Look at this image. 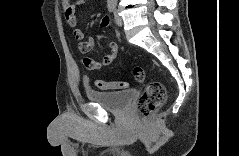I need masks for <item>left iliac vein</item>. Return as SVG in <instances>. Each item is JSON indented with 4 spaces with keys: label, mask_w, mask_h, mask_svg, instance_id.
<instances>
[{
    "label": "left iliac vein",
    "mask_w": 239,
    "mask_h": 156,
    "mask_svg": "<svg viewBox=\"0 0 239 156\" xmlns=\"http://www.w3.org/2000/svg\"><path fill=\"white\" fill-rule=\"evenodd\" d=\"M114 16H115V22H116V24H117L118 26H122L123 20H122V18L118 15V12H117V11H115Z\"/></svg>",
    "instance_id": "4c4485c4"
}]
</instances>
